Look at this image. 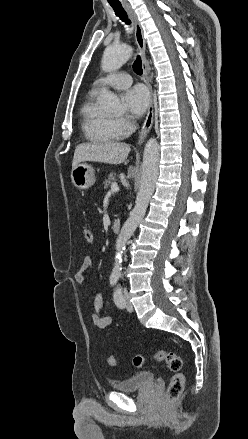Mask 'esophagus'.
I'll use <instances>...</instances> for the list:
<instances>
[{
  "mask_svg": "<svg viewBox=\"0 0 248 439\" xmlns=\"http://www.w3.org/2000/svg\"><path fill=\"white\" fill-rule=\"evenodd\" d=\"M126 10L128 11L133 23H134V29H135V40L141 55L142 60V69H143V81L146 84L148 91H149V107L147 111V115L145 118V121L143 123L142 129L139 133V139L138 144H142L144 139L146 138L149 130L151 129L153 125V117H154V106H153V89H152V77L150 76V68L149 63L146 58V41L143 35V30L141 27V24L134 13V11L131 9L130 6L126 5Z\"/></svg>",
  "mask_w": 248,
  "mask_h": 439,
  "instance_id": "esophagus-1",
  "label": "esophagus"
}]
</instances>
